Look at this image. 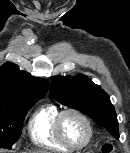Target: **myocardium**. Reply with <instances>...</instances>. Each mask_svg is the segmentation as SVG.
Listing matches in <instances>:
<instances>
[{
  "mask_svg": "<svg viewBox=\"0 0 130 153\" xmlns=\"http://www.w3.org/2000/svg\"><path fill=\"white\" fill-rule=\"evenodd\" d=\"M67 114L76 115L85 123V125L87 127V130H88L87 138H86L85 142L81 145H74V144L70 143L63 134L62 121H63V118ZM54 128H55V132H56V135L59 138V140L66 147H68L70 150H82V149L86 148L89 145V143L92 139V136H93V127H92V123H91L90 119L88 118V116L84 112H82L81 110H79L77 108H65V109L61 110L56 116Z\"/></svg>",
  "mask_w": 130,
  "mask_h": 153,
  "instance_id": "obj_1",
  "label": "myocardium"
}]
</instances>
